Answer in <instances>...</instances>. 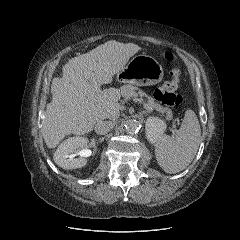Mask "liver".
Wrapping results in <instances>:
<instances>
[{
  "instance_id": "liver-1",
  "label": "liver",
  "mask_w": 240,
  "mask_h": 240,
  "mask_svg": "<svg viewBox=\"0 0 240 240\" xmlns=\"http://www.w3.org/2000/svg\"><path fill=\"white\" fill-rule=\"evenodd\" d=\"M140 50L136 44L110 40L64 65L62 78L53 79L52 101L47 104L42 126L48 148L56 147L66 135H84L97 122L119 117L117 89L103 90L94 97L90 92L94 85L111 83Z\"/></svg>"
}]
</instances>
